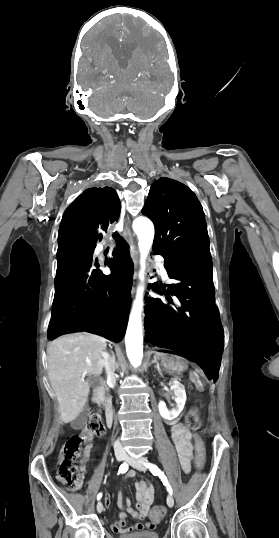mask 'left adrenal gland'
Wrapping results in <instances>:
<instances>
[{"instance_id":"left-adrenal-gland-1","label":"left adrenal gland","mask_w":279,"mask_h":538,"mask_svg":"<svg viewBox=\"0 0 279 538\" xmlns=\"http://www.w3.org/2000/svg\"><path fill=\"white\" fill-rule=\"evenodd\" d=\"M154 364H156L155 368H157V370H158V372H159V374L161 376V368L159 366V362H154Z\"/></svg>"}]
</instances>
